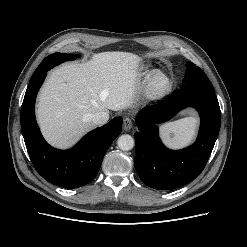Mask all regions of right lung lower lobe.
I'll list each match as a JSON object with an SVG mask.
<instances>
[{"mask_svg": "<svg viewBox=\"0 0 247 247\" xmlns=\"http://www.w3.org/2000/svg\"><path fill=\"white\" fill-rule=\"evenodd\" d=\"M47 71L42 70L30 79L21 107L22 134L30 159L45 180L64 188H78L97 175L106 151L121 133L122 117L89 132L69 150L51 147L37 126L34 112L37 92Z\"/></svg>", "mask_w": 247, "mask_h": 247, "instance_id": "98d812e1", "label": "right lung lower lobe"}]
</instances>
